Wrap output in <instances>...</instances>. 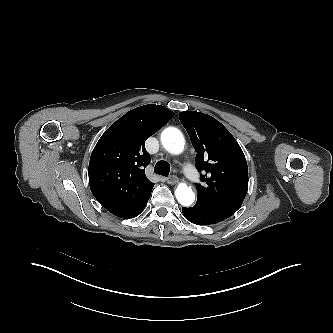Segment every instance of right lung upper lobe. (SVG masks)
<instances>
[{
    "instance_id": "right-lung-upper-lobe-1",
    "label": "right lung upper lobe",
    "mask_w": 333,
    "mask_h": 333,
    "mask_svg": "<svg viewBox=\"0 0 333 333\" xmlns=\"http://www.w3.org/2000/svg\"><path fill=\"white\" fill-rule=\"evenodd\" d=\"M173 116L161 105L137 107L113 123L97 142L89 162L90 189L112 214L126 218L150 196L154 183L145 175L150 162L145 141Z\"/></svg>"
}]
</instances>
